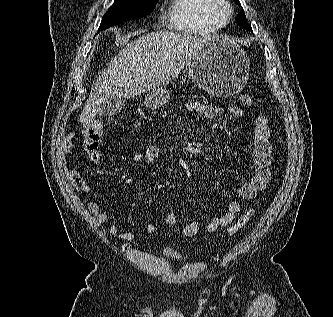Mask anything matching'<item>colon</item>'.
<instances>
[{
  "label": "colon",
  "mask_w": 333,
  "mask_h": 317,
  "mask_svg": "<svg viewBox=\"0 0 333 317\" xmlns=\"http://www.w3.org/2000/svg\"><path fill=\"white\" fill-rule=\"evenodd\" d=\"M239 100L246 106L253 105V98L250 94L243 93L239 96ZM101 132L100 124L91 123L84 130L83 147L87 153H93L100 145ZM254 215V210H247L234 224L227 229L228 235H233L245 227Z\"/></svg>",
  "instance_id": "1"
}]
</instances>
